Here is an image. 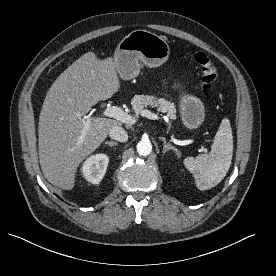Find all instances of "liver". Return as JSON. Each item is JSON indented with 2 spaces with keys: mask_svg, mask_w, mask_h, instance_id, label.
<instances>
[{
  "mask_svg": "<svg viewBox=\"0 0 276 276\" xmlns=\"http://www.w3.org/2000/svg\"><path fill=\"white\" fill-rule=\"evenodd\" d=\"M120 82L114 60H99L87 52L54 81L44 99L38 123L39 162L53 185L71 190L80 163L121 122L103 117L91 119L83 139V119L92 106L118 92Z\"/></svg>",
  "mask_w": 276,
  "mask_h": 276,
  "instance_id": "1",
  "label": "liver"
}]
</instances>
